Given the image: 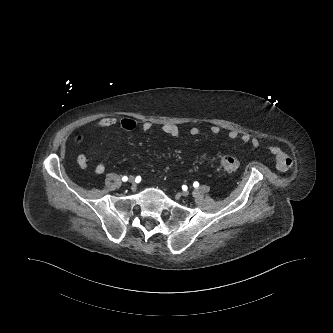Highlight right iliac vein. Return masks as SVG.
Returning <instances> with one entry per match:
<instances>
[{
  "instance_id": "right-iliac-vein-1",
  "label": "right iliac vein",
  "mask_w": 333,
  "mask_h": 333,
  "mask_svg": "<svg viewBox=\"0 0 333 333\" xmlns=\"http://www.w3.org/2000/svg\"><path fill=\"white\" fill-rule=\"evenodd\" d=\"M128 182L131 183V184H134L135 183V178L133 176H130L129 179H128Z\"/></svg>"
}]
</instances>
